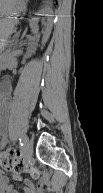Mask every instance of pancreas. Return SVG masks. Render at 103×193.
Here are the masks:
<instances>
[{"label": "pancreas", "mask_w": 103, "mask_h": 193, "mask_svg": "<svg viewBox=\"0 0 103 193\" xmlns=\"http://www.w3.org/2000/svg\"><path fill=\"white\" fill-rule=\"evenodd\" d=\"M13 45H15V42H11L10 45H9V47H11V46H13ZM7 51H10V49H8ZM5 56H6V54L3 55V57H5Z\"/></svg>", "instance_id": "cf45deb5"}]
</instances>
